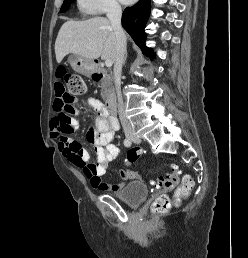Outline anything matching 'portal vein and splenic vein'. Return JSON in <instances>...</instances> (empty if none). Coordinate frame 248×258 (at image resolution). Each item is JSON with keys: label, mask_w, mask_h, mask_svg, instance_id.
<instances>
[{"label": "portal vein and splenic vein", "mask_w": 248, "mask_h": 258, "mask_svg": "<svg viewBox=\"0 0 248 258\" xmlns=\"http://www.w3.org/2000/svg\"><path fill=\"white\" fill-rule=\"evenodd\" d=\"M105 65L106 67H111L112 66V61L110 59L105 60Z\"/></svg>", "instance_id": "18ae733b"}]
</instances>
